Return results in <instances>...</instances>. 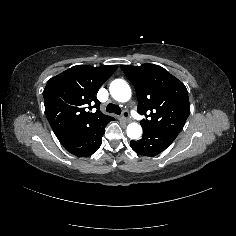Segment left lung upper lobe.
I'll return each mask as SVG.
<instances>
[{
	"mask_svg": "<svg viewBox=\"0 0 236 236\" xmlns=\"http://www.w3.org/2000/svg\"><path fill=\"white\" fill-rule=\"evenodd\" d=\"M121 69L135 87L138 113L146 117L141 126L178 135L190 114L185 85L158 65H121Z\"/></svg>",
	"mask_w": 236,
	"mask_h": 236,
	"instance_id": "5c2ea615",
	"label": "left lung upper lobe"
}]
</instances>
